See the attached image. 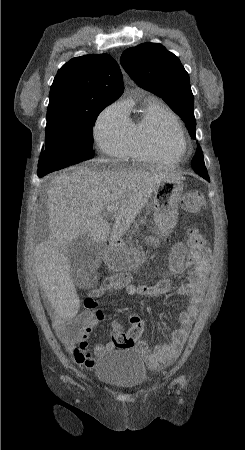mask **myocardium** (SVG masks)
<instances>
[{"instance_id":"f54148a6","label":"myocardium","mask_w":245,"mask_h":450,"mask_svg":"<svg viewBox=\"0 0 245 450\" xmlns=\"http://www.w3.org/2000/svg\"><path fill=\"white\" fill-rule=\"evenodd\" d=\"M166 121H169L177 134V137L179 138L180 142L182 143V150L177 152L174 150V148L172 147V145L165 139L164 134L162 131H159L157 129V142L159 144V146L165 150H167L168 152L172 153L177 159L183 157L189 149V145H188V140L185 136V133L180 125V123L173 117H169L167 119H165Z\"/></svg>"}]
</instances>
